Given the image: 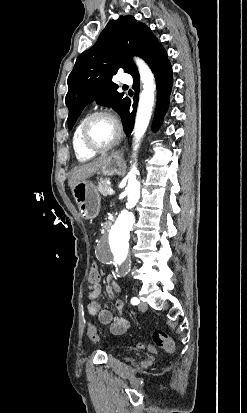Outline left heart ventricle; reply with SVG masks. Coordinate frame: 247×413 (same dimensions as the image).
<instances>
[{"label":"left heart ventricle","mask_w":247,"mask_h":413,"mask_svg":"<svg viewBox=\"0 0 247 413\" xmlns=\"http://www.w3.org/2000/svg\"><path fill=\"white\" fill-rule=\"evenodd\" d=\"M117 134V126L109 118H98L88 128V141L95 145H104L114 139Z\"/></svg>","instance_id":"1"}]
</instances>
